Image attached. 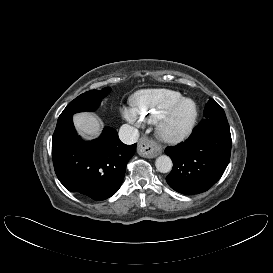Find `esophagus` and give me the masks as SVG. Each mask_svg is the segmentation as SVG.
Returning <instances> with one entry per match:
<instances>
[{"instance_id": "1", "label": "esophagus", "mask_w": 273, "mask_h": 273, "mask_svg": "<svg viewBox=\"0 0 273 273\" xmlns=\"http://www.w3.org/2000/svg\"><path fill=\"white\" fill-rule=\"evenodd\" d=\"M163 149L160 145L148 140L147 137H141L138 142L137 152L146 158H154L162 153Z\"/></svg>"}]
</instances>
